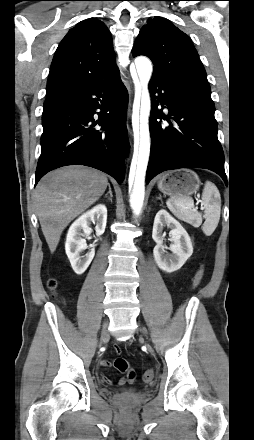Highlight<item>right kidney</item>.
Masks as SVG:
<instances>
[{"label": "right kidney", "instance_id": "1", "mask_svg": "<svg viewBox=\"0 0 254 440\" xmlns=\"http://www.w3.org/2000/svg\"><path fill=\"white\" fill-rule=\"evenodd\" d=\"M91 222H96V235H102L107 222V208L105 205H97L81 215L72 223L68 230L65 251L74 272L78 275L86 271L95 255V250L92 248L85 256H80V253L87 249L86 241L82 236H87L91 233V228L89 227Z\"/></svg>", "mask_w": 254, "mask_h": 440}]
</instances>
